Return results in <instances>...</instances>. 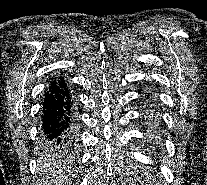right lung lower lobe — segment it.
I'll return each mask as SVG.
<instances>
[{
    "instance_id": "obj_1",
    "label": "right lung lower lobe",
    "mask_w": 207,
    "mask_h": 185,
    "mask_svg": "<svg viewBox=\"0 0 207 185\" xmlns=\"http://www.w3.org/2000/svg\"><path fill=\"white\" fill-rule=\"evenodd\" d=\"M41 141L51 149L75 143L77 116L74 99L64 78L52 80L42 99Z\"/></svg>"
}]
</instances>
